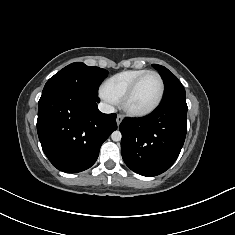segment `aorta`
<instances>
[{"label":"aorta","mask_w":235,"mask_h":235,"mask_svg":"<svg viewBox=\"0 0 235 235\" xmlns=\"http://www.w3.org/2000/svg\"><path fill=\"white\" fill-rule=\"evenodd\" d=\"M111 138L115 142L120 141L122 138V134L120 131L116 130L111 134Z\"/></svg>","instance_id":"1"}]
</instances>
